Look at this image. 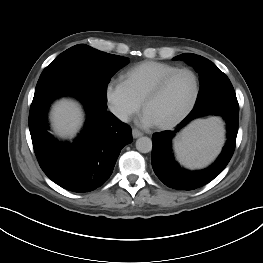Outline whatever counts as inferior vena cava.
<instances>
[{
    "label": "inferior vena cava",
    "mask_w": 263,
    "mask_h": 263,
    "mask_svg": "<svg viewBox=\"0 0 263 263\" xmlns=\"http://www.w3.org/2000/svg\"><path fill=\"white\" fill-rule=\"evenodd\" d=\"M114 114L123 122H128V114L123 110H114Z\"/></svg>",
    "instance_id": "inferior-vena-cava-1"
}]
</instances>
